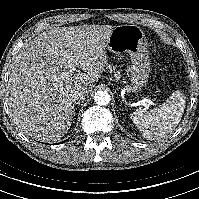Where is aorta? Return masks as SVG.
<instances>
[{"label":"aorta","mask_w":199,"mask_h":199,"mask_svg":"<svg viewBox=\"0 0 199 199\" xmlns=\"http://www.w3.org/2000/svg\"><path fill=\"white\" fill-rule=\"evenodd\" d=\"M94 101L101 106L108 105L110 102V95L106 91H97L94 95Z\"/></svg>","instance_id":"1"}]
</instances>
